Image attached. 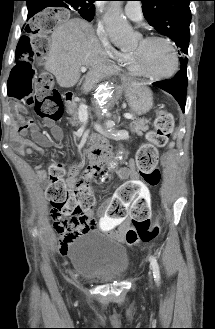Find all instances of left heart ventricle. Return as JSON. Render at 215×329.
I'll return each instance as SVG.
<instances>
[{
  "label": "left heart ventricle",
  "instance_id": "1",
  "mask_svg": "<svg viewBox=\"0 0 215 329\" xmlns=\"http://www.w3.org/2000/svg\"><path fill=\"white\" fill-rule=\"evenodd\" d=\"M132 52H140L142 55L140 65L148 73L163 75L169 73L174 67V55L171 47L162 41L144 44L138 42Z\"/></svg>",
  "mask_w": 215,
  "mask_h": 329
}]
</instances>
